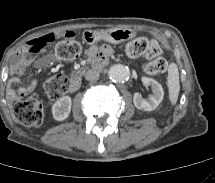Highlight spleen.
Segmentation results:
<instances>
[{"label":"spleen","mask_w":215,"mask_h":183,"mask_svg":"<svg viewBox=\"0 0 215 183\" xmlns=\"http://www.w3.org/2000/svg\"><path fill=\"white\" fill-rule=\"evenodd\" d=\"M167 86L169 92V100L175 105L178 100L180 91L179 71L176 64H171L168 71Z\"/></svg>","instance_id":"spleen-1"}]
</instances>
